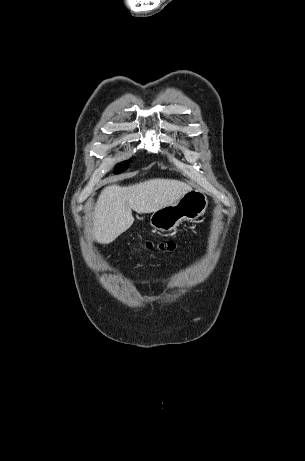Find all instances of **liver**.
I'll return each instance as SVG.
<instances>
[{
  "label": "liver",
  "mask_w": 305,
  "mask_h": 461,
  "mask_svg": "<svg viewBox=\"0 0 305 461\" xmlns=\"http://www.w3.org/2000/svg\"><path fill=\"white\" fill-rule=\"evenodd\" d=\"M192 187L174 179L155 178L129 186L105 187L96 203L91 234L101 244H109L131 227L132 210L153 213L175 204Z\"/></svg>",
  "instance_id": "6515ba94"
}]
</instances>
